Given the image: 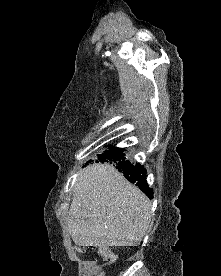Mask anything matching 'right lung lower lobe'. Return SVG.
Instances as JSON below:
<instances>
[{"label": "right lung lower lobe", "mask_w": 221, "mask_h": 276, "mask_svg": "<svg viewBox=\"0 0 221 276\" xmlns=\"http://www.w3.org/2000/svg\"><path fill=\"white\" fill-rule=\"evenodd\" d=\"M116 168L123 172L125 178L131 183H135L150 199L153 198V189L148 186L146 181L147 171L144 166L123 159L116 163Z\"/></svg>", "instance_id": "obj_1"}]
</instances>
